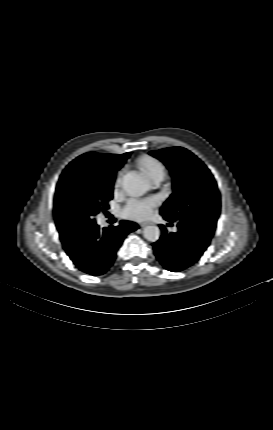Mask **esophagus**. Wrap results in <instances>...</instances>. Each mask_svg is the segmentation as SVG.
<instances>
[{"label":"esophagus","instance_id":"34e87169","mask_svg":"<svg viewBox=\"0 0 273 430\" xmlns=\"http://www.w3.org/2000/svg\"><path fill=\"white\" fill-rule=\"evenodd\" d=\"M149 224H151V223L150 222H141L139 225L141 227H145L146 225H149Z\"/></svg>","mask_w":273,"mask_h":430}]
</instances>
